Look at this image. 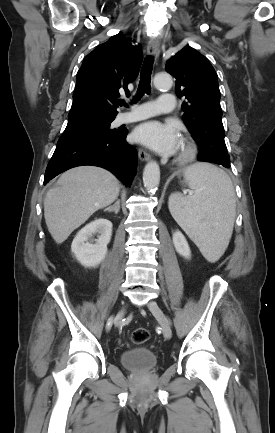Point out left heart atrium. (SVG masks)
<instances>
[{"instance_id": "1", "label": "left heart atrium", "mask_w": 275, "mask_h": 433, "mask_svg": "<svg viewBox=\"0 0 275 433\" xmlns=\"http://www.w3.org/2000/svg\"><path fill=\"white\" fill-rule=\"evenodd\" d=\"M135 141L161 153L172 154L180 145V137L172 123H162L157 120L144 122L133 132Z\"/></svg>"}]
</instances>
